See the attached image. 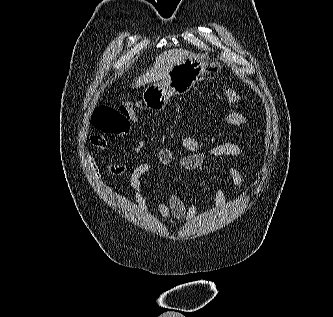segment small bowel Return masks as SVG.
<instances>
[{
  "label": "small bowel",
  "mask_w": 333,
  "mask_h": 317,
  "mask_svg": "<svg viewBox=\"0 0 333 317\" xmlns=\"http://www.w3.org/2000/svg\"><path fill=\"white\" fill-rule=\"evenodd\" d=\"M248 122L246 116L238 110L231 109L223 120V124L227 126H242ZM91 146L97 150L106 153L108 151V142L102 135L95 134L89 138ZM182 146L185 150L184 156H182L177 162V167L184 171H196L203 172L205 170V157L206 154L201 150V143L194 137L185 136L182 139ZM144 143L139 141L136 143L134 149L137 152L142 151ZM212 157H236L243 160L247 159L246 153L242 147L235 143H221L213 146L207 152ZM157 160L161 166L168 167L174 164V157L172 151L169 148H160L157 152ZM89 163L94 170L95 175L99 176V171L96 167L94 160L89 157ZM151 164L149 162H143L137 165L130 173L129 183L135 193L137 201L141 204L144 203V197L142 192V177L150 171ZM108 170L114 175H122L126 172V166L124 164H117L107 162ZM227 173L232 184L242 189L244 181L241 172L234 165L227 167ZM213 198L215 206L221 209L225 204L224 191L219 187H214ZM158 210L163 220H169L171 218L182 221H192L197 212L196 204L193 200H189L186 203L176 193H170L167 200L160 199L158 203Z\"/></svg>",
  "instance_id": "c3829d8e"
}]
</instances>
